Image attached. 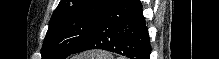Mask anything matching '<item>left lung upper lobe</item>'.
<instances>
[{
	"label": "left lung upper lobe",
	"instance_id": "obj_1",
	"mask_svg": "<svg viewBox=\"0 0 219 59\" xmlns=\"http://www.w3.org/2000/svg\"><path fill=\"white\" fill-rule=\"evenodd\" d=\"M113 0H61L43 42L42 59H65L96 30Z\"/></svg>",
	"mask_w": 219,
	"mask_h": 59
}]
</instances>
